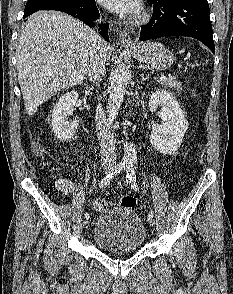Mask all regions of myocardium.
<instances>
[{"mask_svg": "<svg viewBox=\"0 0 233 294\" xmlns=\"http://www.w3.org/2000/svg\"><path fill=\"white\" fill-rule=\"evenodd\" d=\"M145 18H146V15H145V14H143V15H141V16H140V18H139V19H140V20H143V19H145Z\"/></svg>", "mask_w": 233, "mask_h": 294, "instance_id": "myocardium-1", "label": "myocardium"}]
</instances>
